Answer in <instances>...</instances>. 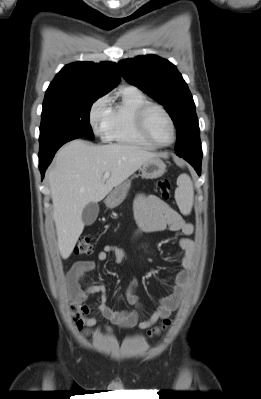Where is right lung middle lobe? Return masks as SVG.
<instances>
[{
	"mask_svg": "<svg viewBox=\"0 0 261 399\" xmlns=\"http://www.w3.org/2000/svg\"><path fill=\"white\" fill-rule=\"evenodd\" d=\"M99 96L45 97L40 125V144L53 137L72 132L93 140L89 121L90 108Z\"/></svg>",
	"mask_w": 261,
	"mask_h": 399,
	"instance_id": "obj_1",
	"label": "right lung middle lobe"
}]
</instances>
